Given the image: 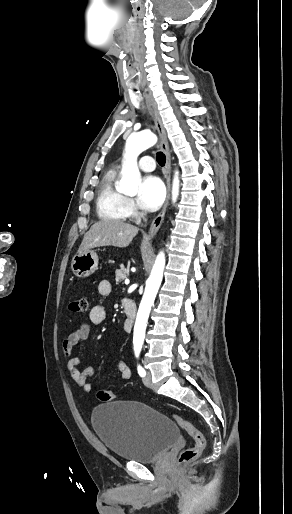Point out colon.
Wrapping results in <instances>:
<instances>
[{"label":"colon","mask_w":292,"mask_h":514,"mask_svg":"<svg viewBox=\"0 0 292 514\" xmlns=\"http://www.w3.org/2000/svg\"><path fill=\"white\" fill-rule=\"evenodd\" d=\"M89 303L86 298H77L70 302L69 310L73 313H85L88 311ZM97 398L102 402L113 401L116 396L109 388H101L97 392ZM176 423L192 438L193 444L181 451L179 463H188L196 460L206 448V438L203 432L192 422L184 417L173 414Z\"/></svg>","instance_id":"1"}]
</instances>
